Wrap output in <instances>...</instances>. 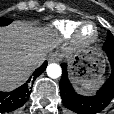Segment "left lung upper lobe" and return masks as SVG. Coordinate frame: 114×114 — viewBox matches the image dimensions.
<instances>
[{"instance_id":"obj_1","label":"left lung upper lobe","mask_w":114,"mask_h":114,"mask_svg":"<svg viewBox=\"0 0 114 114\" xmlns=\"http://www.w3.org/2000/svg\"><path fill=\"white\" fill-rule=\"evenodd\" d=\"M107 36L108 38L106 42L104 43V47H114V36L111 34L110 31H108Z\"/></svg>"}]
</instances>
